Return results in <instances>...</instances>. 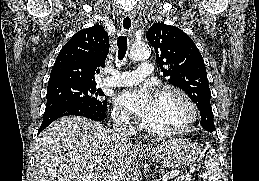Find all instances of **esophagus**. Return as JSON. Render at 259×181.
Masks as SVG:
<instances>
[{
	"instance_id": "1",
	"label": "esophagus",
	"mask_w": 259,
	"mask_h": 181,
	"mask_svg": "<svg viewBox=\"0 0 259 181\" xmlns=\"http://www.w3.org/2000/svg\"><path fill=\"white\" fill-rule=\"evenodd\" d=\"M132 29H133V18L130 14H126L123 16L121 20V30L122 32H131ZM136 148L138 150H145L147 147L143 142L139 141L136 144Z\"/></svg>"
}]
</instances>
